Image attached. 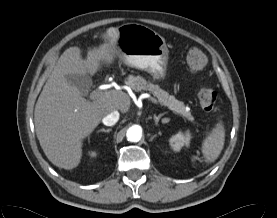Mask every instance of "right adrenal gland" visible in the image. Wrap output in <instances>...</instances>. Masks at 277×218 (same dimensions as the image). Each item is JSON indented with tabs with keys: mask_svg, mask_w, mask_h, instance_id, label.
Wrapping results in <instances>:
<instances>
[{
	"mask_svg": "<svg viewBox=\"0 0 277 218\" xmlns=\"http://www.w3.org/2000/svg\"><path fill=\"white\" fill-rule=\"evenodd\" d=\"M112 129L111 128H109V129H100V130H98V133L99 132H107V133H109L110 131H111Z\"/></svg>",
	"mask_w": 277,
	"mask_h": 218,
	"instance_id": "2a0ac1e0",
	"label": "right adrenal gland"
}]
</instances>
